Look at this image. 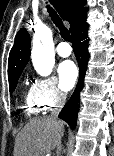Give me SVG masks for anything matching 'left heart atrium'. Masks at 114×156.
<instances>
[{"mask_svg":"<svg viewBox=\"0 0 114 156\" xmlns=\"http://www.w3.org/2000/svg\"><path fill=\"white\" fill-rule=\"evenodd\" d=\"M60 85L63 90H70L77 79L78 70L76 65L70 61H64L58 68Z\"/></svg>","mask_w":114,"mask_h":156,"instance_id":"39dd6f15","label":"left heart atrium"}]
</instances>
